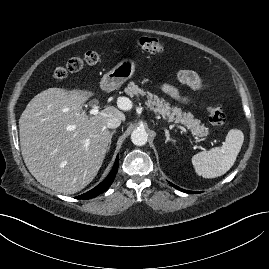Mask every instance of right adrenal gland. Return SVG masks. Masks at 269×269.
<instances>
[{
    "label": "right adrenal gland",
    "mask_w": 269,
    "mask_h": 269,
    "mask_svg": "<svg viewBox=\"0 0 269 269\" xmlns=\"http://www.w3.org/2000/svg\"><path fill=\"white\" fill-rule=\"evenodd\" d=\"M115 132H116V131H112V132H111L110 140H109V144H108V147H107V152L110 150L111 143H112V137H113V134H114Z\"/></svg>",
    "instance_id": "right-adrenal-gland-1"
}]
</instances>
